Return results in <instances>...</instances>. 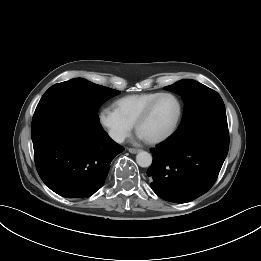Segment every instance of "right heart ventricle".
<instances>
[{
    "label": "right heart ventricle",
    "instance_id": "right-heart-ventricle-1",
    "mask_svg": "<svg viewBox=\"0 0 261 261\" xmlns=\"http://www.w3.org/2000/svg\"><path fill=\"white\" fill-rule=\"evenodd\" d=\"M160 92H148L121 97L114 101V109L127 121L134 125L137 117Z\"/></svg>",
    "mask_w": 261,
    "mask_h": 261
}]
</instances>
